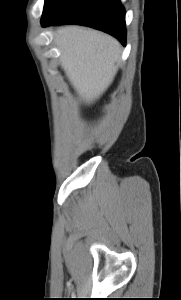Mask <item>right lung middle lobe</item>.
<instances>
[{
    "label": "right lung middle lobe",
    "instance_id": "obj_1",
    "mask_svg": "<svg viewBox=\"0 0 181 300\" xmlns=\"http://www.w3.org/2000/svg\"><path fill=\"white\" fill-rule=\"evenodd\" d=\"M63 0H45L43 15L48 14L52 10H54Z\"/></svg>",
    "mask_w": 181,
    "mask_h": 300
}]
</instances>
